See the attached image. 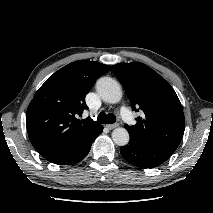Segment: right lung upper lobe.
I'll list each match as a JSON object with an SVG mask.
<instances>
[{"mask_svg":"<svg viewBox=\"0 0 213 213\" xmlns=\"http://www.w3.org/2000/svg\"><path fill=\"white\" fill-rule=\"evenodd\" d=\"M110 70L99 62L78 60L45 81L26 113L28 136L36 150L73 145L100 127L90 118L77 117L87 109L85 96L95 81Z\"/></svg>","mask_w":213,"mask_h":213,"instance_id":"right-lung-upper-lobe-1","label":"right lung upper lobe"}]
</instances>
